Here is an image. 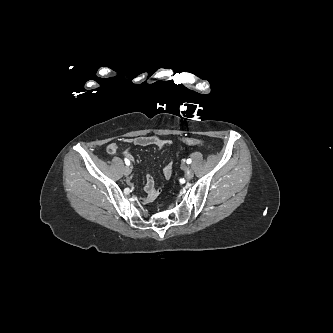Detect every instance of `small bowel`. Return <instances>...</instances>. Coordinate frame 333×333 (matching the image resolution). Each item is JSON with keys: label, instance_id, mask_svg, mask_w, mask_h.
<instances>
[{"label": "small bowel", "instance_id": "small-bowel-1", "mask_svg": "<svg viewBox=\"0 0 333 333\" xmlns=\"http://www.w3.org/2000/svg\"><path fill=\"white\" fill-rule=\"evenodd\" d=\"M129 141H131L136 146H140V147L155 146L160 149L164 148L170 144V142L167 139H165L161 136H157V135L139 136V137H136ZM107 151L111 155H116L119 152L117 143L109 144ZM123 154L128 156L129 158H132V155L129 150L123 151ZM172 173H173V163H172V161H170L165 165V167L163 169L164 178L167 180L170 179L172 176ZM144 191H145L146 195L143 198H141V202L144 204H147L157 198V196L161 192V189L156 187L153 178L150 175H148L146 178Z\"/></svg>", "mask_w": 333, "mask_h": 333}]
</instances>
